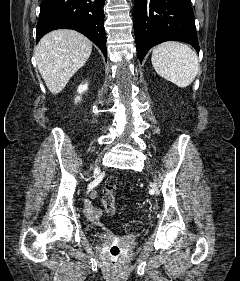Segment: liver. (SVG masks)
<instances>
[{
  "mask_svg": "<svg viewBox=\"0 0 240 281\" xmlns=\"http://www.w3.org/2000/svg\"><path fill=\"white\" fill-rule=\"evenodd\" d=\"M91 52L92 42L76 31L59 29L46 34L39 41L34 54L49 91L60 93L86 63Z\"/></svg>",
  "mask_w": 240,
  "mask_h": 281,
  "instance_id": "obj_1",
  "label": "liver"
}]
</instances>
